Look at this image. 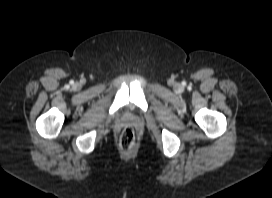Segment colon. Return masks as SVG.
<instances>
[{"label": "colon", "instance_id": "colon-1", "mask_svg": "<svg viewBox=\"0 0 272 198\" xmlns=\"http://www.w3.org/2000/svg\"><path fill=\"white\" fill-rule=\"evenodd\" d=\"M120 146L123 149H130L135 143V132L132 127H126L122 130L120 135Z\"/></svg>", "mask_w": 272, "mask_h": 198}]
</instances>
